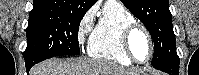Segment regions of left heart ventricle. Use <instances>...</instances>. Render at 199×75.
Here are the masks:
<instances>
[{
  "instance_id": "left-heart-ventricle-1",
  "label": "left heart ventricle",
  "mask_w": 199,
  "mask_h": 75,
  "mask_svg": "<svg viewBox=\"0 0 199 75\" xmlns=\"http://www.w3.org/2000/svg\"><path fill=\"white\" fill-rule=\"evenodd\" d=\"M130 47L135 58L143 62L150 53V45L145 34L139 30H136L130 38Z\"/></svg>"
}]
</instances>
